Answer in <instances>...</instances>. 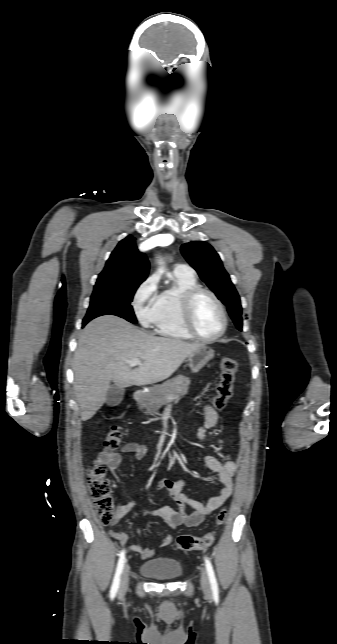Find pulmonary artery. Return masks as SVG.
<instances>
[{"instance_id":"pulmonary-artery-1","label":"pulmonary artery","mask_w":337,"mask_h":644,"mask_svg":"<svg viewBox=\"0 0 337 644\" xmlns=\"http://www.w3.org/2000/svg\"><path fill=\"white\" fill-rule=\"evenodd\" d=\"M175 271H180V272H186V273H194V270L185 264H178L175 267Z\"/></svg>"}]
</instances>
